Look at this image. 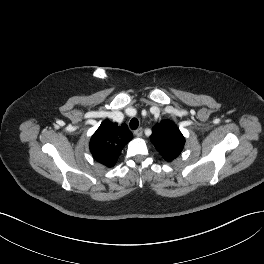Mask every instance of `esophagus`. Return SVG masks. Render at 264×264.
Wrapping results in <instances>:
<instances>
[{
	"label": "esophagus",
	"mask_w": 264,
	"mask_h": 264,
	"mask_svg": "<svg viewBox=\"0 0 264 264\" xmlns=\"http://www.w3.org/2000/svg\"><path fill=\"white\" fill-rule=\"evenodd\" d=\"M134 134L137 136V137H141L142 134H143V129L142 128H138L134 131Z\"/></svg>",
	"instance_id": "obj_1"
}]
</instances>
